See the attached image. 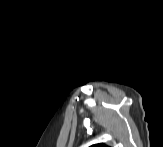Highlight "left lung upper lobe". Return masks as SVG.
<instances>
[{"instance_id":"1","label":"left lung upper lobe","mask_w":163,"mask_h":147,"mask_svg":"<svg viewBox=\"0 0 163 147\" xmlns=\"http://www.w3.org/2000/svg\"><path fill=\"white\" fill-rule=\"evenodd\" d=\"M91 147H107V146L104 144H96V145H92Z\"/></svg>"}]
</instances>
